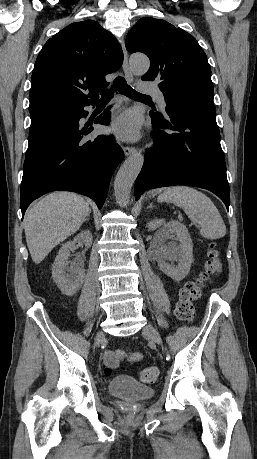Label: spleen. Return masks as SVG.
<instances>
[{
	"mask_svg": "<svg viewBox=\"0 0 257 459\" xmlns=\"http://www.w3.org/2000/svg\"><path fill=\"white\" fill-rule=\"evenodd\" d=\"M158 200L181 207L191 221L201 226L204 238L214 240L225 236L226 226L218 209L202 192L188 186H174L167 188Z\"/></svg>",
	"mask_w": 257,
	"mask_h": 459,
	"instance_id": "3e777b00",
	"label": "spleen"
}]
</instances>
